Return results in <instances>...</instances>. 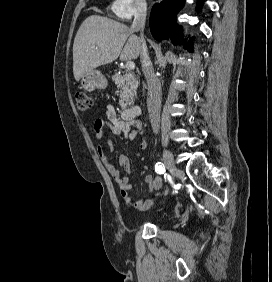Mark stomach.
I'll use <instances>...</instances> for the list:
<instances>
[{"label": "stomach", "instance_id": "obj_1", "mask_svg": "<svg viewBox=\"0 0 272 282\" xmlns=\"http://www.w3.org/2000/svg\"><path fill=\"white\" fill-rule=\"evenodd\" d=\"M106 86L107 80L105 76L95 69L85 74L81 80V87L90 92L95 89H104Z\"/></svg>", "mask_w": 272, "mask_h": 282}]
</instances>
